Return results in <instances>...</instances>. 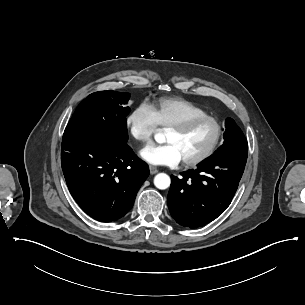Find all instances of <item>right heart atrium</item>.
<instances>
[{"instance_id":"obj_1","label":"right heart atrium","mask_w":305,"mask_h":305,"mask_svg":"<svg viewBox=\"0 0 305 305\" xmlns=\"http://www.w3.org/2000/svg\"><path fill=\"white\" fill-rule=\"evenodd\" d=\"M127 131L137 142L148 143L158 127L156 117L150 106L138 104L125 118Z\"/></svg>"}]
</instances>
